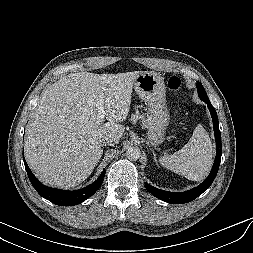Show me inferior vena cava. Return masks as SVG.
Wrapping results in <instances>:
<instances>
[{"label":"inferior vena cava","instance_id":"602c4592","mask_svg":"<svg viewBox=\"0 0 253 253\" xmlns=\"http://www.w3.org/2000/svg\"><path fill=\"white\" fill-rule=\"evenodd\" d=\"M113 139L109 137H105L101 140V145H113Z\"/></svg>","mask_w":253,"mask_h":253}]
</instances>
